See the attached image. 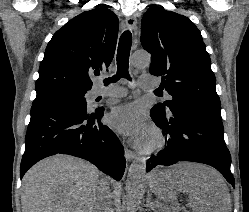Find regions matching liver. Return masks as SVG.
<instances>
[{"label":"liver","mask_w":249,"mask_h":212,"mask_svg":"<svg viewBox=\"0 0 249 212\" xmlns=\"http://www.w3.org/2000/svg\"><path fill=\"white\" fill-rule=\"evenodd\" d=\"M99 176L93 164L72 156L41 160L22 180V212H93ZM148 176L151 192L163 202H174L183 192L193 212H231L227 184L214 168L179 162Z\"/></svg>","instance_id":"1"}]
</instances>
